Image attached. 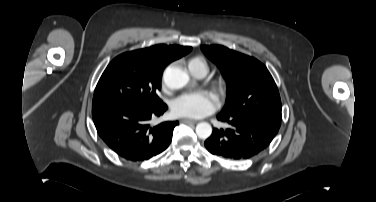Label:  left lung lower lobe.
<instances>
[{"instance_id": "0a47b994", "label": "left lung lower lobe", "mask_w": 376, "mask_h": 202, "mask_svg": "<svg viewBox=\"0 0 376 202\" xmlns=\"http://www.w3.org/2000/svg\"><path fill=\"white\" fill-rule=\"evenodd\" d=\"M217 119L230 127L215 128L204 144L211 154L234 160L247 159L264 151L281 125V121L257 114L230 116L220 113Z\"/></svg>"}]
</instances>
